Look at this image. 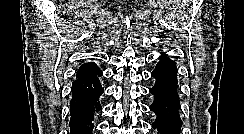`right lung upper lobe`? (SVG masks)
Here are the masks:
<instances>
[{"label":"right lung upper lobe","mask_w":244,"mask_h":134,"mask_svg":"<svg viewBox=\"0 0 244 134\" xmlns=\"http://www.w3.org/2000/svg\"><path fill=\"white\" fill-rule=\"evenodd\" d=\"M98 75H102L101 70L97 67V65L94 62H88L80 66V68L77 71L76 78H89Z\"/></svg>","instance_id":"1"}]
</instances>
